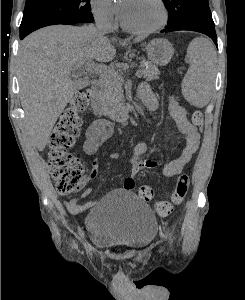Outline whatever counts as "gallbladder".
Masks as SVG:
<instances>
[{
	"label": "gallbladder",
	"instance_id": "bac80fb5",
	"mask_svg": "<svg viewBox=\"0 0 245 300\" xmlns=\"http://www.w3.org/2000/svg\"><path fill=\"white\" fill-rule=\"evenodd\" d=\"M75 89H81L86 86V80L85 79H78L73 81Z\"/></svg>",
	"mask_w": 245,
	"mask_h": 300
}]
</instances>
